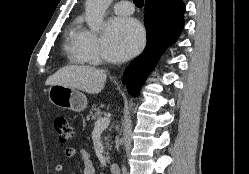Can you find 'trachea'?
<instances>
[{"instance_id": "obj_1", "label": "trachea", "mask_w": 249, "mask_h": 174, "mask_svg": "<svg viewBox=\"0 0 249 174\" xmlns=\"http://www.w3.org/2000/svg\"><path fill=\"white\" fill-rule=\"evenodd\" d=\"M133 2L138 8H142L144 5V0H133Z\"/></svg>"}]
</instances>
